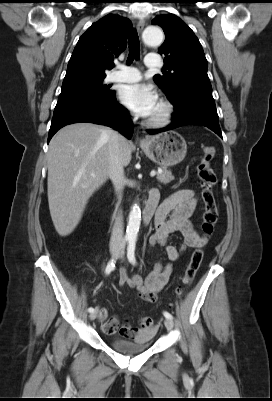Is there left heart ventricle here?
Segmentation results:
<instances>
[{"mask_svg": "<svg viewBox=\"0 0 272 401\" xmlns=\"http://www.w3.org/2000/svg\"><path fill=\"white\" fill-rule=\"evenodd\" d=\"M158 111H159V106H157L155 112L153 113V115L151 117L155 116L158 113Z\"/></svg>", "mask_w": 272, "mask_h": 401, "instance_id": "1", "label": "left heart ventricle"}]
</instances>
